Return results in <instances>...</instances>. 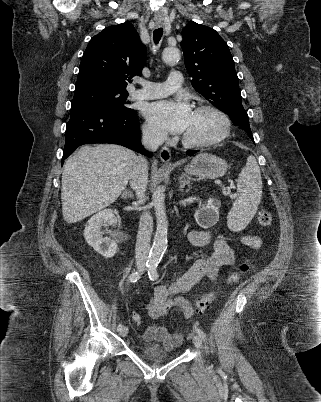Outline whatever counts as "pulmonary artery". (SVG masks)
I'll return each instance as SVG.
<instances>
[{
    "label": "pulmonary artery",
    "instance_id": "pulmonary-artery-1",
    "mask_svg": "<svg viewBox=\"0 0 321 402\" xmlns=\"http://www.w3.org/2000/svg\"><path fill=\"white\" fill-rule=\"evenodd\" d=\"M183 82L182 74L178 71L172 72L168 80L162 83L140 81V88L136 89L132 95L137 99H156L170 95L177 91Z\"/></svg>",
    "mask_w": 321,
    "mask_h": 402
}]
</instances>
